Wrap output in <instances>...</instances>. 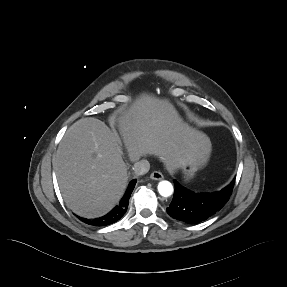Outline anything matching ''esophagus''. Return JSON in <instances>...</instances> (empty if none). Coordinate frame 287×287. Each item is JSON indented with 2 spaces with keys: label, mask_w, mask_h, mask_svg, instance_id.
Here are the masks:
<instances>
[{
  "label": "esophagus",
  "mask_w": 287,
  "mask_h": 287,
  "mask_svg": "<svg viewBox=\"0 0 287 287\" xmlns=\"http://www.w3.org/2000/svg\"><path fill=\"white\" fill-rule=\"evenodd\" d=\"M150 178L153 180H161L163 179V174L159 171H154L151 173Z\"/></svg>",
  "instance_id": "34e87169"
}]
</instances>
